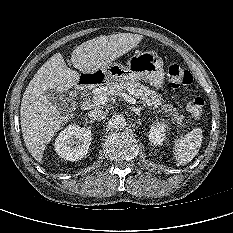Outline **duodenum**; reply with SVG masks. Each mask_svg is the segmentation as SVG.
Instances as JSON below:
<instances>
[{"instance_id": "410a0bca", "label": "duodenum", "mask_w": 233, "mask_h": 233, "mask_svg": "<svg viewBox=\"0 0 233 233\" xmlns=\"http://www.w3.org/2000/svg\"><path fill=\"white\" fill-rule=\"evenodd\" d=\"M103 76L101 74H90V75H84L82 76L78 83L77 87L79 89H85L88 87H92L94 85H97L102 82Z\"/></svg>"}]
</instances>
